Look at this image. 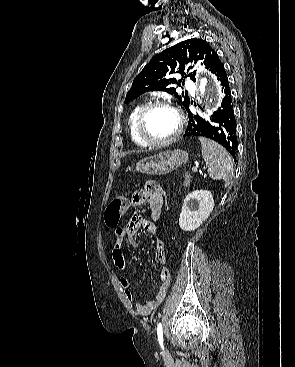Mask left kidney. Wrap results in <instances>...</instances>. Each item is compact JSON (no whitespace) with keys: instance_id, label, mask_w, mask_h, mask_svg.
<instances>
[{"instance_id":"1","label":"left kidney","mask_w":295,"mask_h":367,"mask_svg":"<svg viewBox=\"0 0 295 367\" xmlns=\"http://www.w3.org/2000/svg\"><path fill=\"white\" fill-rule=\"evenodd\" d=\"M214 208L210 191L196 190L189 193L182 205L179 226L183 231H194L209 217Z\"/></svg>"}]
</instances>
